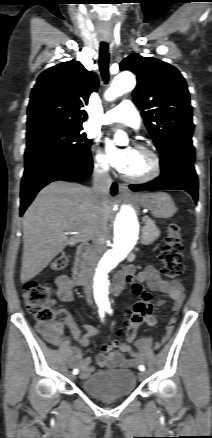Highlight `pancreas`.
Segmentation results:
<instances>
[{"label": "pancreas", "instance_id": "1", "mask_svg": "<svg viewBox=\"0 0 212 438\" xmlns=\"http://www.w3.org/2000/svg\"><path fill=\"white\" fill-rule=\"evenodd\" d=\"M144 226L142 228V240L144 245L152 244L160 235V230L151 218L144 219Z\"/></svg>", "mask_w": 212, "mask_h": 438}]
</instances>
